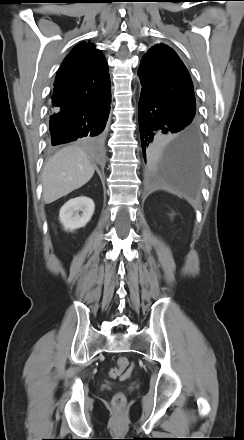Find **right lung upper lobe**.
<instances>
[{"label": "right lung upper lobe", "mask_w": 244, "mask_h": 440, "mask_svg": "<svg viewBox=\"0 0 244 440\" xmlns=\"http://www.w3.org/2000/svg\"><path fill=\"white\" fill-rule=\"evenodd\" d=\"M111 95L108 66L92 44L81 43L65 58L54 82L52 111H72Z\"/></svg>", "instance_id": "obj_1"}]
</instances>
